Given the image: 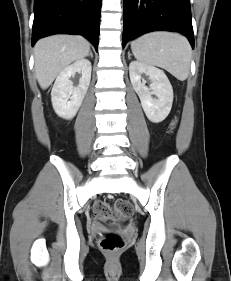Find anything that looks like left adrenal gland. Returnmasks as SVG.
<instances>
[{
  "instance_id": "a2214340",
  "label": "left adrenal gland",
  "mask_w": 231,
  "mask_h": 281,
  "mask_svg": "<svg viewBox=\"0 0 231 281\" xmlns=\"http://www.w3.org/2000/svg\"><path fill=\"white\" fill-rule=\"evenodd\" d=\"M130 56H131V54H130V52H128V58L130 59Z\"/></svg>"
}]
</instances>
